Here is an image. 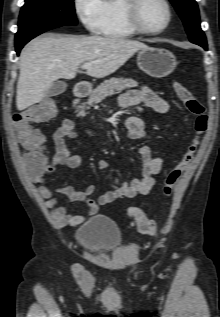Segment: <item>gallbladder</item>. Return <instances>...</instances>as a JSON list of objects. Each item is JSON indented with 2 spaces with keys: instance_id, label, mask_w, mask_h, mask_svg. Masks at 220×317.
Instances as JSON below:
<instances>
[{
  "instance_id": "bac80fb5",
  "label": "gallbladder",
  "mask_w": 220,
  "mask_h": 317,
  "mask_svg": "<svg viewBox=\"0 0 220 317\" xmlns=\"http://www.w3.org/2000/svg\"><path fill=\"white\" fill-rule=\"evenodd\" d=\"M67 89V85L64 82H54L49 91L47 92V97L58 96L64 93Z\"/></svg>"
}]
</instances>
